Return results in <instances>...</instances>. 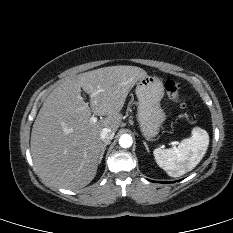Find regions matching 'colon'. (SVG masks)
Returning a JSON list of instances; mask_svg holds the SVG:
<instances>
[{
  "mask_svg": "<svg viewBox=\"0 0 233 233\" xmlns=\"http://www.w3.org/2000/svg\"><path fill=\"white\" fill-rule=\"evenodd\" d=\"M180 88V84L173 79H168L165 82V90L168 98L174 103L179 104L181 108H184V104L180 101ZM185 116L188 118L187 115Z\"/></svg>",
  "mask_w": 233,
  "mask_h": 233,
  "instance_id": "1",
  "label": "colon"
}]
</instances>
